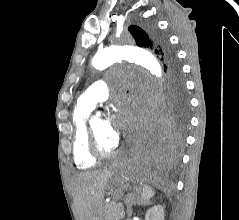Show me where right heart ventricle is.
<instances>
[{
  "label": "right heart ventricle",
  "instance_id": "right-heart-ventricle-1",
  "mask_svg": "<svg viewBox=\"0 0 239 220\" xmlns=\"http://www.w3.org/2000/svg\"><path fill=\"white\" fill-rule=\"evenodd\" d=\"M91 111V107L78 102L72 113L73 159L76 166L82 169L91 168L96 164V158L89 151L87 138V124Z\"/></svg>",
  "mask_w": 239,
  "mask_h": 220
}]
</instances>
